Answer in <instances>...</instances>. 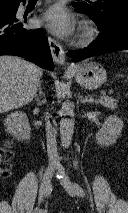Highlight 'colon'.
<instances>
[{
    "instance_id": "colon-1",
    "label": "colon",
    "mask_w": 128,
    "mask_h": 213,
    "mask_svg": "<svg viewBox=\"0 0 128 213\" xmlns=\"http://www.w3.org/2000/svg\"><path fill=\"white\" fill-rule=\"evenodd\" d=\"M12 158V152L10 149L9 143L0 146V176L1 177H7L10 174V160ZM64 213V212H59Z\"/></svg>"
}]
</instances>
